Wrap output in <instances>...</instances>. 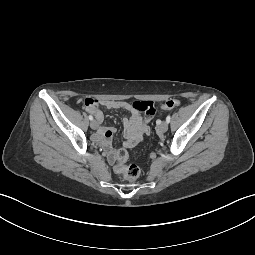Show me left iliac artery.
<instances>
[{
  "instance_id": "44dca946",
  "label": "left iliac artery",
  "mask_w": 255,
  "mask_h": 255,
  "mask_svg": "<svg viewBox=\"0 0 255 255\" xmlns=\"http://www.w3.org/2000/svg\"><path fill=\"white\" fill-rule=\"evenodd\" d=\"M170 120H171V116H170V115H168V116L166 117V121H167V123H169V122H170Z\"/></svg>"
}]
</instances>
